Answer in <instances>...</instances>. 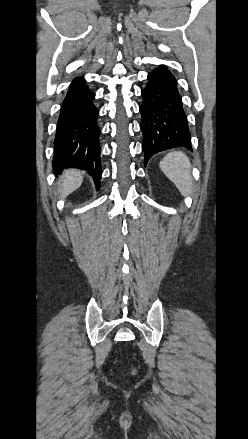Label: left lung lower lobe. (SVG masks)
<instances>
[{"label": "left lung lower lobe", "mask_w": 248, "mask_h": 439, "mask_svg": "<svg viewBox=\"0 0 248 439\" xmlns=\"http://www.w3.org/2000/svg\"><path fill=\"white\" fill-rule=\"evenodd\" d=\"M140 106L145 166L156 153L175 147L192 149L187 117L172 73L164 66L148 74Z\"/></svg>", "instance_id": "0a47b994"}]
</instances>
